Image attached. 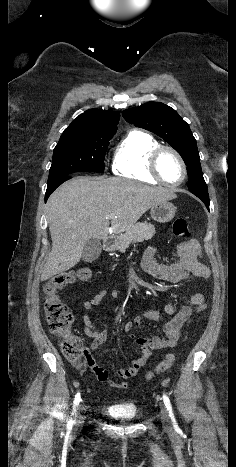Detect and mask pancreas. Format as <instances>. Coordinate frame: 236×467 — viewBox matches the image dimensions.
Segmentation results:
<instances>
[{"instance_id": "obj_1", "label": "pancreas", "mask_w": 236, "mask_h": 467, "mask_svg": "<svg viewBox=\"0 0 236 467\" xmlns=\"http://www.w3.org/2000/svg\"><path fill=\"white\" fill-rule=\"evenodd\" d=\"M155 233V228L150 223L144 222L135 224L124 234L116 237L115 248L120 252H125L131 243L149 240L155 235Z\"/></svg>"}]
</instances>
